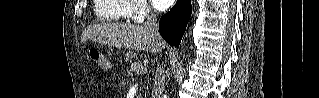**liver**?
<instances>
[{"label":"liver","mask_w":319,"mask_h":98,"mask_svg":"<svg viewBox=\"0 0 319 98\" xmlns=\"http://www.w3.org/2000/svg\"><path fill=\"white\" fill-rule=\"evenodd\" d=\"M82 37L109 46L158 52L165 43L157 41L144 25L105 23L87 27Z\"/></svg>","instance_id":"liver-1"}]
</instances>
